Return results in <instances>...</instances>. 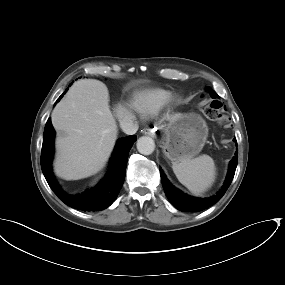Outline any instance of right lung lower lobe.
Wrapping results in <instances>:
<instances>
[{
    "label": "right lung lower lobe",
    "instance_id": "obj_1",
    "mask_svg": "<svg viewBox=\"0 0 285 285\" xmlns=\"http://www.w3.org/2000/svg\"><path fill=\"white\" fill-rule=\"evenodd\" d=\"M67 91V89H66ZM65 94V92L63 93ZM63 95L57 100L59 101ZM55 130L48 119L43 136L41 151V168L46 181L53 192L67 205L82 211H101L110 206L116 199L125 179L129 151L136 141V136H128L117 141L110 159L109 171L95 186L82 194L69 195L63 192L52 172Z\"/></svg>",
    "mask_w": 285,
    "mask_h": 285
}]
</instances>
